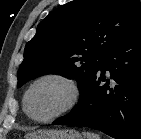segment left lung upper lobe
<instances>
[{"instance_id": "1", "label": "left lung upper lobe", "mask_w": 141, "mask_h": 139, "mask_svg": "<svg viewBox=\"0 0 141 139\" xmlns=\"http://www.w3.org/2000/svg\"><path fill=\"white\" fill-rule=\"evenodd\" d=\"M141 27L138 0H75L52 11L27 42L18 85L45 75L75 78L86 89L108 51Z\"/></svg>"}]
</instances>
